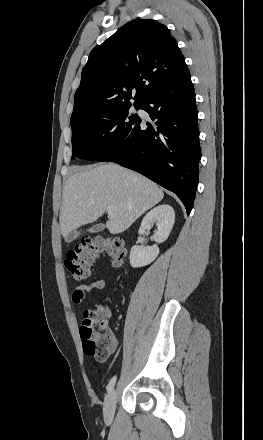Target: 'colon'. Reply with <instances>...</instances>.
<instances>
[{"label": "colon", "mask_w": 263, "mask_h": 440, "mask_svg": "<svg viewBox=\"0 0 263 440\" xmlns=\"http://www.w3.org/2000/svg\"><path fill=\"white\" fill-rule=\"evenodd\" d=\"M101 255L108 256L115 267H121L125 257L124 241L120 238H84L67 254L65 267L75 280L82 281L90 276L93 263ZM107 316L108 310L104 306L87 311L80 327L85 355L98 361L107 357L115 341L113 333L106 327Z\"/></svg>", "instance_id": "obj_1"}]
</instances>
